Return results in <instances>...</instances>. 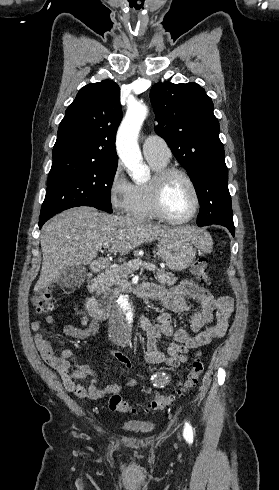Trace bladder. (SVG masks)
<instances>
[{
    "label": "bladder",
    "instance_id": "bladder-1",
    "mask_svg": "<svg viewBox=\"0 0 279 490\" xmlns=\"http://www.w3.org/2000/svg\"><path fill=\"white\" fill-rule=\"evenodd\" d=\"M130 430L139 433L140 436H144L155 430V426L152 422H139L130 427Z\"/></svg>",
    "mask_w": 279,
    "mask_h": 490
}]
</instances>
